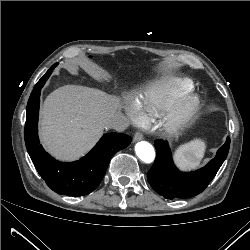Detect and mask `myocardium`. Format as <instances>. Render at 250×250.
Returning a JSON list of instances; mask_svg holds the SVG:
<instances>
[{"instance_id":"obj_1","label":"myocardium","mask_w":250,"mask_h":250,"mask_svg":"<svg viewBox=\"0 0 250 250\" xmlns=\"http://www.w3.org/2000/svg\"><path fill=\"white\" fill-rule=\"evenodd\" d=\"M202 109V97L194 90L183 93L171 109L166 111L162 127L168 133H175L190 125Z\"/></svg>"}]
</instances>
